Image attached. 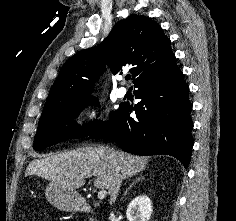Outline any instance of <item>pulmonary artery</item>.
<instances>
[{
    "label": "pulmonary artery",
    "instance_id": "1",
    "mask_svg": "<svg viewBox=\"0 0 236 221\" xmlns=\"http://www.w3.org/2000/svg\"><path fill=\"white\" fill-rule=\"evenodd\" d=\"M127 93H128V90L125 87H120L118 89V96L121 98L125 97L127 95Z\"/></svg>",
    "mask_w": 236,
    "mask_h": 221
}]
</instances>
